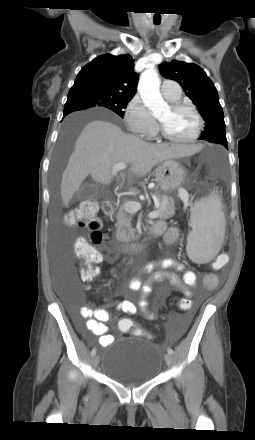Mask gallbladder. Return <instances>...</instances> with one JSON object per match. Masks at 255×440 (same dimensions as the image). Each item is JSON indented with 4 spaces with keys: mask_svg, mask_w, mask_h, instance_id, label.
Listing matches in <instances>:
<instances>
[{
    "mask_svg": "<svg viewBox=\"0 0 255 440\" xmlns=\"http://www.w3.org/2000/svg\"><path fill=\"white\" fill-rule=\"evenodd\" d=\"M97 193V186L94 183H85L76 193L75 199L84 200L92 198Z\"/></svg>",
    "mask_w": 255,
    "mask_h": 440,
    "instance_id": "bac80fb5",
    "label": "gallbladder"
}]
</instances>
